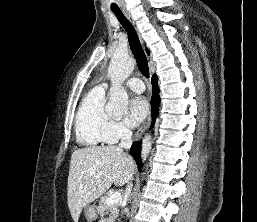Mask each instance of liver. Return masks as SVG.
I'll return each instance as SVG.
<instances>
[{
    "label": "liver",
    "instance_id": "obj_1",
    "mask_svg": "<svg viewBox=\"0 0 257 222\" xmlns=\"http://www.w3.org/2000/svg\"><path fill=\"white\" fill-rule=\"evenodd\" d=\"M135 167L133 159L117 146H92L74 151L67 185V203L73 221L78 222L82 209L112 184L128 183Z\"/></svg>",
    "mask_w": 257,
    "mask_h": 222
}]
</instances>
